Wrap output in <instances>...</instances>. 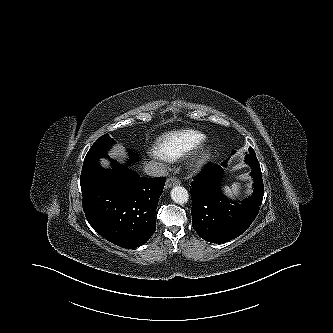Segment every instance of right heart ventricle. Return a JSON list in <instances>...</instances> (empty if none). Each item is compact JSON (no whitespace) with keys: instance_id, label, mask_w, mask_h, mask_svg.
<instances>
[{"instance_id":"obj_1","label":"right heart ventricle","mask_w":333,"mask_h":333,"mask_svg":"<svg viewBox=\"0 0 333 333\" xmlns=\"http://www.w3.org/2000/svg\"><path fill=\"white\" fill-rule=\"evenodd\" d=\"M205 136L194 130H182L162 136L156 145V154L165 160H177L197 148Z\"/></svg>"}]
</instances>
